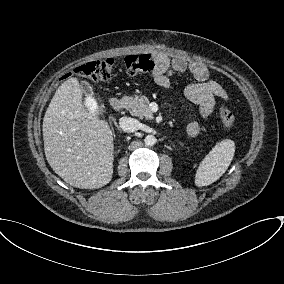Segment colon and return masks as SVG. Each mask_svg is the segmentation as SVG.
I'll use <instances>...</instances> for the list:
<instances>
[{
  "label": "colon",
  "instance_id": "colon-1",
  "mask_svg": "<svg viewBox=\"0 0 284 284\" xmlns=\"http://www.w3.org/2000/svg\"><path fill=\"white\" fill-rule=\"evenodd\" d=\"M115 60L112 58L91 61L77 66L73 74L92 81H107L114 73ZM155 61L148 54L129 55L123 59V66L130 75H142L155 69ZM220 117L226 129L234 126V116L226 107L219 109Z\"/></svg>",
  "mask_w": 284,
  "mask_h": 284
}]
</instances>
